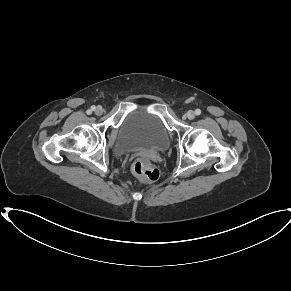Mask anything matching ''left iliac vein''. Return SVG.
<instances>
[{
    "instance_id": "left-iliac-vein-1",
    "label": "left iliac vein",
    "mask_w": 291,
    "mask_h": 291,
    "mask_svg": "<svg viewBox=\"0 0 291 291\" xmlns=\"http://www.w3.org/2000/svg\"><path fill=\"white\" fill-rule=\"evenodd\" d=\"M186 116L188 119L192 120L195 117V113L193 111H188Z\"/></svg>"
}]
</instances>
